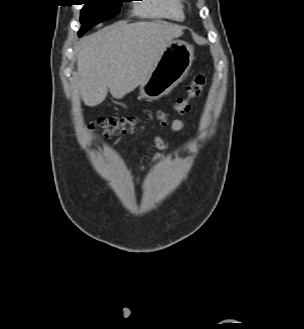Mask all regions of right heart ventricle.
<instances>
[{
	"label": "right heart ventricle",
	"mask_w": 304,
	"mask_h": 329,
	"mask_svg": "<svg viewBox=\"0 0 304 329\" xmlns=\"http://www.w3.org/2000/svg\"><path fill=\"white\" fill-rule=\"evenodd\" d=\"M137 7L140 15L155 18L181 20L184 17V5L182 0H142Z\"/></svg>",
	"instance_id": "right-heart-ventricle-1"
}]
</instances>
